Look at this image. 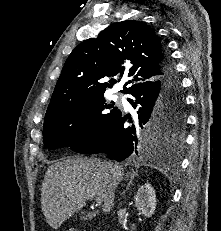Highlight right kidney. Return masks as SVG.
Returning <instances> with one entry per match:
<instances>
[{"mask_svg": "<svg viewBox=\"0 0 221 231\" xmlns=\"http://www.w3.org/2000/svg\"><path fill=\"white\" fill-rule=\"evenodd\" d=\"M135 206L147 218H150L156 209V194L154 188L150 184L141 186L135 197Z\"/></svg>", "mask_w": 221, "mask_h": 231, "instance_id": "obj_1", "label": "right kidney"}]
</instances>
